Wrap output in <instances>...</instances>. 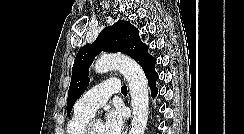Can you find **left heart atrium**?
Wrapping results in <instances>:
<instances>
[{
    "label": "left heart atrium",
    "mask_w": 244,
    "mask_h": 134,
    "mask_svg": "<svg viewBox=\"0 0 244 134\" xmlns=\"http://www.w3.org/2000/svg\"><path fill=\"white\" fill-rule=\"evenodd\" d=\"M102 126L103 134H123L124 116L122 111L119 109L108 111Z\"/></svg>",
    "instance_id": "1"
}]
</instances>
